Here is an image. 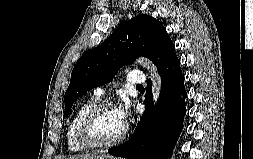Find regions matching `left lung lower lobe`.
<instances>
[{
  "label": "left lung lower lobe",
  "instance_id": "obj_1",
  "mask_svg": "<svg viewBox=\"0 0 253 159\" xmlns=\"http://www.w3.org/2000/svg\"><path fill=\"white\" fill-rule=\"evenodd\" d=\"M158 71L162 78V91L156 106L153 105L149 80L145 111L137 128L126 143L109 149L110 154L127 159H166L170 156L186 112L184 76L176 54Z\"/></svg>",
  "mask_w": 253,
  "mask_h": 159
}]
</instances>
